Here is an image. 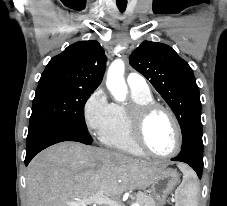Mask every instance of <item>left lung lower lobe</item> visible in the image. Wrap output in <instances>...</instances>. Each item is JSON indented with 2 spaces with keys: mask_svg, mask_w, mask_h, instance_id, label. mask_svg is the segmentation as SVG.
Wrapping results in <instances>:
<instances>
[{
  "mask_svg": "<svg viewBox=\"0 0 227 206\" xmlns=\"http://www.w3.org/2000/svg\"><path fill=\"white\" fill-rule=\"evenodd\" d=\"M171 160L187 163L196 171L198 177L201 178L203 168V152L199 151L194 145L187 144L185 147H182L179 155Z\"/></svg>",
  "mask_w": 227,
  "mask_h": 206,
  "instance_id": "left-lung-lower-lobe-1",
  "label": "left lung lower lobe"
}]
</instances>
